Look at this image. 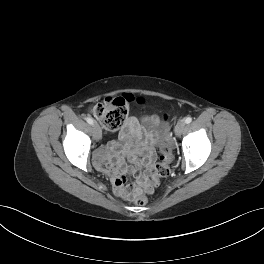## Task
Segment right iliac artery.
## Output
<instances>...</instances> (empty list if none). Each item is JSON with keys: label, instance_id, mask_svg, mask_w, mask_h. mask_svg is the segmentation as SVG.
<instances>
[{"label": "right iliac artery", "instance_id": "1", "mask_svg": "<svg viewBox=\"0 0 264 264\" xmlns=\"http://www.w3.org/2000/svg\"><path fill=\"white\" fill-rule=\"evenodd\" d=\"M86 121L91 125L94 124V120L92 118H86Z\"/></svg>", "mask_w": 264, "mask_h": 264}]
</instances>
